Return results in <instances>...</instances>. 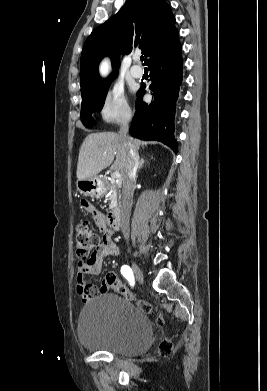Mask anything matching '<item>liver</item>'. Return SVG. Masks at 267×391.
Masks as SVG:
<instances>
[{
  "label": "liver",
  "mask_w": 267,
  "mask_h": 391,
  "mask_svg": "<svg viewBox=\"0 0 267 391\" xmlns=\"http://www.w3.org/2000/svg\"><path fill=\"white\" fill-rule=\"evenodd\" d=\"M126 140L131 142L137 150L146 145L138 139L127 137ZM126 163L127 149L119 134L113 132L92 133L85 138L80 147L77 178L78 180L91 178L110 165L113 170L120 172L123 176Z\"/></svg>",
  "instance_id": "obj_1"
}]
</instances>
